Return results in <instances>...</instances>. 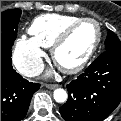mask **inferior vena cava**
Listing matches in <instances>:
<instances>
[{
    "label": "inferior vena cava",
    "instance_id": "obj_1",
    "mask_svg": "<svg viewBox=\"0 0 121 121\" xmlns=\"http://www.w3.org/2000/svg\"><path fill=\"white\" fill-rule=\"evenodd\" d=\"M17 70L19 73L27 77L38 76L43 72L44 64L41 59H38L35 63L18 66Z\"/></svg>",
    "mask_w": 121,
    "mask_h": 121
}]
</instances>
